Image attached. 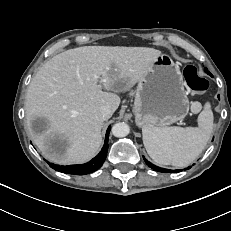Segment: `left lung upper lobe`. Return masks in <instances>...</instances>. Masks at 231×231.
<instances>
[{
	"instance_id": "5c2ea615",
	"label": "left lung upper lobe",
	"mask_w": 231,
	"mask_h": 231,
	"mask_svg": "<svg viewBox=\"0 0 231 231\" xmlns=\"http://www.w3.org/2000/svg\"><path fill=\"white\" fill-rule=\"evenodd\" d=\"M205 71L210 75V73L207 71V69L205 68Z\"/></svg>"
}]
</instances>
